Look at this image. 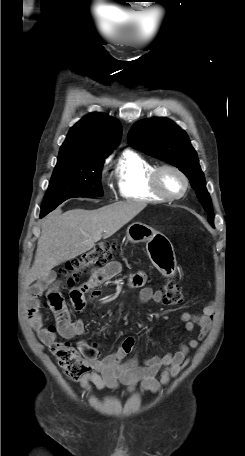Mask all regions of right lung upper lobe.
<instances>
[{"instance_id": "cb5924a9", "label": "right lung upper lobe", "mask_w": 245, "mask_h": 456, "mask_svg": "<svg viewBox=\"0 0 245 456\" xmlns=\"http://www.w3.org/2000/svg\"><path fill=\"white\" fill-rule=\"evenodd\" d=\"M121 132L118 120L105 114H88L70 129L57 163L105 159L117 146Z\"/></svg>"}]
</instances>
